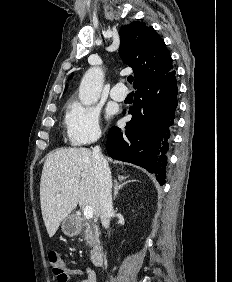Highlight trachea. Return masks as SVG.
Instances as JSON below:
<instances>
[{
	"instance_id": "obj_1",
	"label": "trachea",
	"mask_w": 232,
	"mask_h": 282,
	"mask_svg": "<svg viewBox=\"0 0 232 282\" xmlns=\"http://www.w3.org/2000/svg\"><path fill=\"white\" fill-rule=\"evenodd\" d=\"M133 76H129L128 78H127V81L129 82V83H132L133 82Z\"/></svg>"
}]
</instances>
